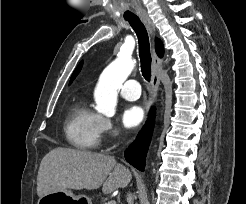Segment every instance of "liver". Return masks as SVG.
<instances>
[{
    "mask_svg": "<svg viewBox=\"0 0 246 204\" xmlns=\"http://www.w3.org/2000/svg\"><path fill=\"white\" fill-rule=\"evenodd\" d=\"M131 178L129 169L117 163L114 157L57 147L41 161L37 194L42 197L67 189L94 190L101 186L103 193L108 194L126 187Z\"/></svg>",
    "mask_w": 246,
    "mask_h": 204,
    "instance_id": "liver-1",
    "label": "liver"
}]
</instances>
